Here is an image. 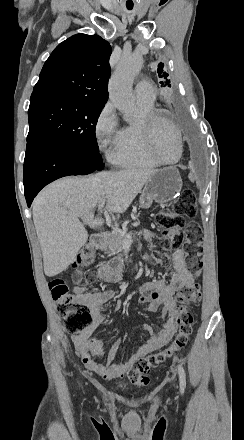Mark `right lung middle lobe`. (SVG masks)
Masks as SVG:
<instances>
[{
	"label": "right lung middle lobe",
	"mask_w": 244,
	"mask_h": 440,
	"mask_svg": "<svg viewBox=\"0 0 244 440\" xmlns=\"http://www.w3.org/2000/svg\"><path fill=\"white\" fill-rule=\"evenodd\" d=\"M104 105L87 99L30 100L27 141H54L85 153H98L95 127Z\"/></svg>",
	"instance_id": "1"
}]
</instances>
